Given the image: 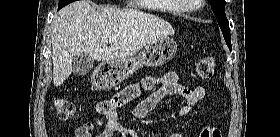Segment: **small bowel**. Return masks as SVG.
<instances>
[{"mask_svg":"<svg viewBox=\"0 0 280 137\" xmlns=\"http://www.w3.org/2000/svg\"><path fill=\"white\" fill-rule=\"evenodd\" d=\"M157 86H160V88L134 107L132 112L134 118L144 119L160 104H164L165 108L170 110L171 97L174 95H179L185 99L186 104L177 110L176 114L180 117H186L190 114L191 109L202 101L206 95L202 86L191 89L180 84L175 72H166L159 76H145L140 81L127 86L123 91H128L135 98L142 90H153ZM120 94L121 92L97 106L98 113L103 115L105 120L83 123L76 128L75 137H91V132L95 127L103 128L97 137H137L131 129L119 122L118 109L128 103L120 98ZM209 129L213 128L205 127L201 132ZM171 137H183V135L178 133Z\"/></svg>","mask_w":280,"mask_h":137,"instance_id":"c3829d8e","label":"small bowel"}]
</instances>
